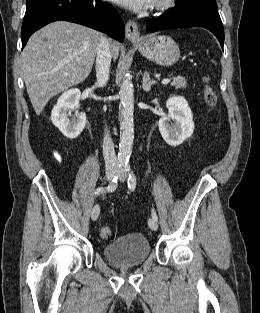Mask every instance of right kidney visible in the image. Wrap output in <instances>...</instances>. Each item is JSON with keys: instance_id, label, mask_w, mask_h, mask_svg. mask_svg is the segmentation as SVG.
I'll use <instances>...</instances> for the list:
<instances>
[{"instance_id": "ca27d5eb", "label": "right kidney", "mask_w": 260, "mask_h": 313, "mask_svg": "<svg viewBox=\"0 0 260 313\" xmlns=\"http://www.w3.org/2000/svg\"><path fill=\"white\" fill-rule=\"evenodd\" d=\"M81 92L74 88L64 92L51 112L52 123L69 139L77 138L86 124L85 113H77L69 119L71 111L79 108Z\"/></svg>"}]
</instances>
